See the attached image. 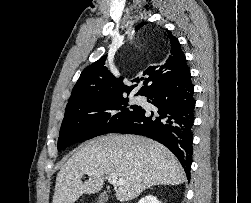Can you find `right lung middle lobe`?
I'll return each mask as SVG.
<instances>
[{
  "instance_id": "right-lung-middle-lobe-1",
  "label": "right lung middle lobe",
  "mask_w": 251,
  "mask_h": 203,
  "mask_svg": "<svg viewBox=\"0 0 251 203\" xmlns=\"http://www.w3.org/2000/svg\"><path fill=\"white\" fill-rule=\"evenodd\" d=\"M141 108L131 105L124 97L67 105L58 138V151L79 141L114 133Z\"/></svg>"
}]
</instances>
